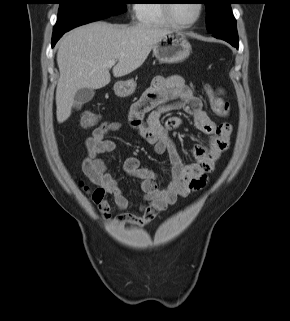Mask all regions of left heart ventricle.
I'll use <instances>...</instances> for the list:
<instances>
[{
	"instance_id": "obj_1",
	"label": "left heart ventricle",
	"mask_w": 290,
	"mask_h": 321,
	"mask_svg": "<svg viewBox=\"0 0 290 321\" xmlns=\"http://www.w3.org/2000/svg\"><path fill=\"white\" fill-rule=\"evenodd\" d=\"M197 3L193 0H180L173 4V15L180 22H190L197 15Z\"/></svg>"
}]
</instances>
